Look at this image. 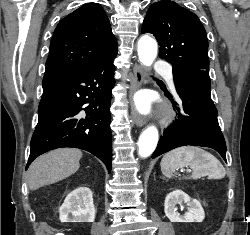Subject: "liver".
Masks as SVG:
<instances>
[{"label":"liver","mask_w":250,"mask_h":235,"mask_svg":"<svg viewBox=\"0 0 250 235\" xmlns=\"http://www.w3.org/2000/svg\"><path fill=\"white\" fill-rule=\"evenodd\" d=\"M82 152L74 148H61L38 157L29 167L28 185L31 190L63 180L80 167Z\"/></svg>","instance_id":"1"}]
</instances>
